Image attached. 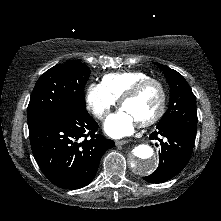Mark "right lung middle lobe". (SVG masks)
<instances>
[{
	"label": "right lung middle lobe",
	"mask_w": 221,
	"mask_h": 221,
	"mask_svg": "<svg viewBox=\"0 0 221 221\" xmlns=\"http://www.w3.org/2000/svg\"><path fill=\"white\" fill-rule=\"evenodd\" d=\"M90 69L68 61L47 70L37 81L28 105L29 130L59 120L75 109H85L84 86Z\"/></svg>",
	"instance_id": "dd1d6c3e"
}]
</instances>
